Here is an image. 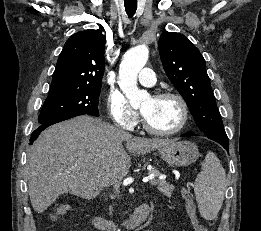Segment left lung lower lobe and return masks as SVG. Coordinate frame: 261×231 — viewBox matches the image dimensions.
I'll list each match as a JSON object with an SVG mask.
<instances>
[{"instance_id":"obj_1","label":"left lung lower lobe","mask_w":261,"mask_h":231,"mask_svg":"<svg viewBox=\"0 0 261 231\" xmlns=\"http://www.w3.org/2000/svg\"><path fill=\"white\" fill-rule=\"evenodd\" d=\"M189 136H196L193 132H188L185 134H182L181 137H189ZM216 142H218L219 144H221L227 151L229 150V143L226 140H220L217 138H210Z\"/></svg>"}]
</instances>
